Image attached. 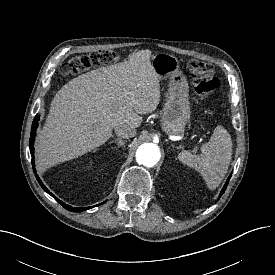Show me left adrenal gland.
Segmentation results:
<instances>
[{"mask_svg": "<svg viewBox=\"0 0 275 275\" xmlns=\"http://www.w3.org/2000/svg\"><path fill=\"white\" fill-rule=\"evenodd\" d=\"M172 147H175V146L172 144ZM175 148H177V147H175Z\"/></svg>", "mask_w": 275, "mask_h": 275, "instance_id": "a2214340", "label": "left adrenal gland"}]
</instances>
